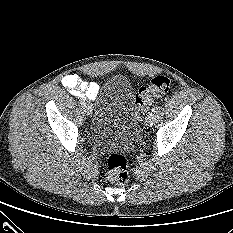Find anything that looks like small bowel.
Returning <instances> with one entry per match:
<instances>
[{
    "instance_id": "small-bowel-1",
    "label": "small bowel",
    "mask_w": 233,
    "mask_h": 233,
    "mask_svg": "<svg viewBox=\"0 0 233 233\" xmlns=\"http://www.w3.org/2000/svg\"><path fill=\"white\" fill-rule=\"evenodd\" d=\"M62 85L75 97L96 99L99 93V85L96 82H86L77 74H68L62 79Z\"/></svg>"
}]
</instances>
